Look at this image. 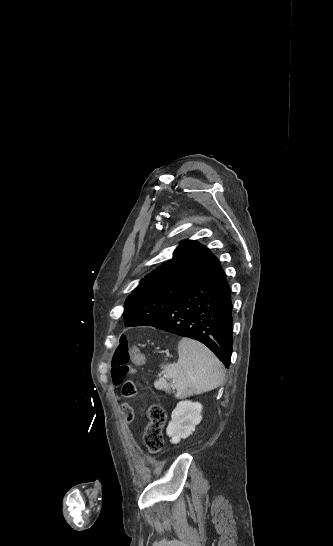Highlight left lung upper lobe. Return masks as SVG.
<instances>
[{
    "instance_id": "obj_1",
    "label": "left lung upper lobe",
    "mask_w": 333,
    "mask_h": 546,
    "mask_svg": "<svg viewBox=\"0 0 333 546\" xmlns=\"http://www.w3.org/2000/svg\"><path fill=\"white\" fill-rule=\"evenodd\" d=\"M211 254L195 241H183L175 249L173 258L142 279L128 296L125 319L135 314L142 325L154 323L161 310L189 288Z\"/></svg>"
}]
</instances>
